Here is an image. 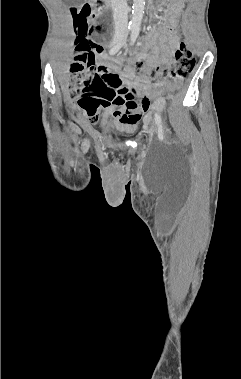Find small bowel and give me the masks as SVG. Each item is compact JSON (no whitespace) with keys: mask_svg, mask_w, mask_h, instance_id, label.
<instances>
[{"mask_svg":"<svg viewBox=\"0 0 241 379\" xmlns=\"http://www.w3.org/2000/svg\"><path fill=\"white\" fill-rule=\"evenodd\" d=\"M170 7L167 12L168 24L163 26L156 35L148 38L147 45L153 49L154 57L151 59L146 67V71L150 70L155 61L170 62L173 52L178 47L180 42V31L178 29V17L183 0H169ZM113 70V69H112ZM116 72V71H115ZM121 77V76H120ZM123 77L128 80L126 83L128 86L127 94L118 95L110 104L109 113L116 119L117 123L128 129L133 130L144 115H147V110H150L152 103L149 101V96L152 95L151 89L146 88V85H142L144 79L134 81V72L132 69H127L123 73ZM137 86L136 89L133 87ZM161 100L156 101V105L159 106ZM149 116H146L148 118Z\"/></svg>","mask_w":241,"mask_h":379,"instance_id":"small-bowel-1","label":"small bowel"}]
</instances>
